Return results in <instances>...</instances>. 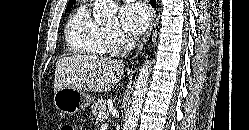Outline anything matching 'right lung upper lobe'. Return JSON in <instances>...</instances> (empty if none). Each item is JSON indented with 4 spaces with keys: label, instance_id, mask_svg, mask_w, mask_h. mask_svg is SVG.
<instances>
[{
    "label": "right lung upper lobe",
    "instance_id": "1",
    "mask_svg": "<svg viewBox=\"0 0 249 130\" xmlns=\"http://www.w3.org/2000/svg\"><path fill=\"white\" fill-rule=\"evenodd\" d=\"M74 3H75V0H69L68 5L74 4Z\"/></svg>",
    "mask_w": 249,
    "mask_h": 130
}]
</instances>
